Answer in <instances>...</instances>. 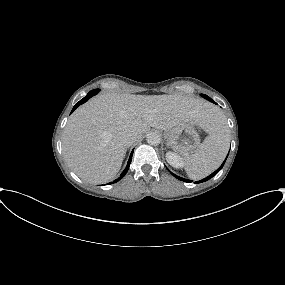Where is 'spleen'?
<instances>
[{
	"mask_svg": "<svg viewBox=\"0 0 285 285\" xmlns=\"http://www.w3.org/2000/svg\"><path fill=\"white\" fill-rule=\"evenodd\" d=\"M230 134L224 116L219 112L216 125L194 154L184 157V169L193 179H202L215 171L226 157Z\"/></svg>",
	"mask_w": 285,
	"mask_h": 285,
	"instance_id": "3e777b00",
	"label": "spleen"
}]
</instances>
